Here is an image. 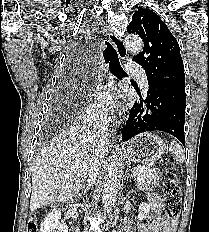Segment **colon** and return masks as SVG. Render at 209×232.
<instances>
[{
	"instance_id": "colon-1",
	"label": "colon",
	"mask_w": 209,
	"mask_h": 232,
	"mask_svg": "<svg viewBox=\"0 0 209 232\" xmlns=\"http://www.w3.org/2000/svg\"><path fill=\"white\" fill-rule=\"evenodd\" d=\"M163 206L165 218L175 221L181 209V191L173 175H168L163 184ZM26 232H39L36 218L33 217Z\"/></svg>"
}]
</instances>
